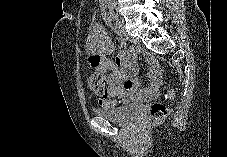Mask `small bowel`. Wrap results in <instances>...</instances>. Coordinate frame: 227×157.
I'll return each mask as SVG.
<instances>
[{"label": "small bowel", "instance_id": "small-bowel-1", "mask_svg": "<svg viewBox=\"0 0 227 157\" xmlns=\"http://www.w3.org/2000/svg\"><path fill=\"white\" fill-rule=\"evenodd\" d=\"M89 63L98 74H107V87L102 94H97L102 104L104 100L141 101L157 96L160 75L155 64L149 69L150 83L143 86L135 78L137 65L134 52L129 50L119 54L115 59L107 58L113 51V44L105 30L98 24L93 26L86 40Z\"/></svg>", "mask_w": 227, "mask_h": 157}]
</instances>
